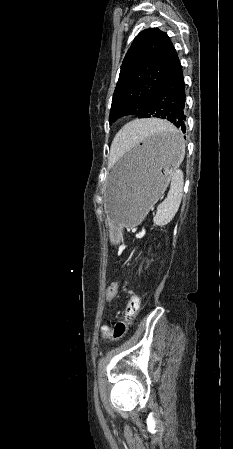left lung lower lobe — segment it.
<instances>
[{
	"label": "left lung lower lobe",
	"instance_id": "1",
	"mask_svg": "<svg viewBox=\"0 0 233 449\" xmlns=\"http://www.w3.org/2000/svg\"><path fill=\"white\" fill-rule=\"evenodd\" d=\"M184 108L185 83L182 66L179 64L154 94L144 118L157 117L166 119L185 133L186 116ZM179 140L175 136L159 137V141L170 145L178 143Z\"/></svg>",
	"mask_w": 233,
	"mask_h": 449
}]
</instances>
